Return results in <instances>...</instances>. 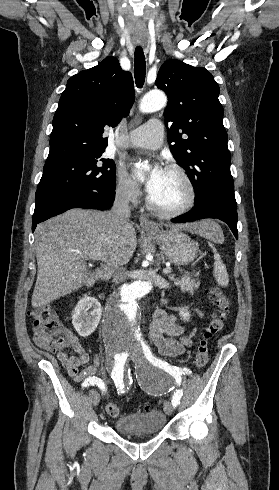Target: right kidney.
<instances>
[{
    "instance_id": "ca27d5eb",
    "label": "right kidney",
    "mask_w": 279,
    "mask_h": 490,
    "mask_svg": "<svg viewBox=\"0 0 279 490\" xmlns=\"http://www.w3.org/2000/svg\"><path fill=\"white\" fill-rule=\"evenodd\" d=\"M90 310V312H88ZM102 316L100 302L90 296H84L79 300L72 314V324L79 336L87 338L92 332H95Z\"/></svg>"
}]
</instances>
